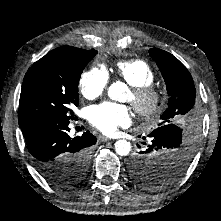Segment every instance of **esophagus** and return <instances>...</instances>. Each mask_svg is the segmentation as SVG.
Segmentation results:
<instances>
[{
    "instance_id": "1",
    "label": "esophagus",
    "mask_w": 221,
    "mask_h": 221,
    "mask_svg": "<svg viewBox=\"0 0 221 221\" xmlns=\"http://www.w3.org/2000/svg\"><path fill=\"white\" fill-rule=\"evenodd\" d=\"M99 139H100L102 142L111 141V139L108 138V137H106V136H100Z\"/></svg>"
}]
</instances>
